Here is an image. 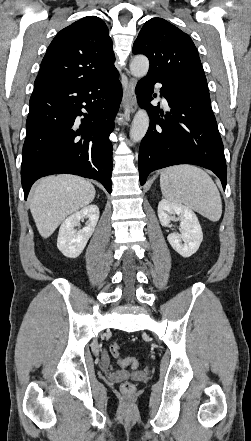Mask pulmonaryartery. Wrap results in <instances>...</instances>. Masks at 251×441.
I'll return each instance as SVG.
<instances>
[{"instance_id":"e3ab8cb5","label":"pulmonary artery","mask_w":251,"mask_h":441,"mask_svg":"<svg viewBox=\"0 0 251 441\" xmlns=\"http://www.w3.org/2000/svg\"><path fill=\"white\" fill-rule=\"evenodd\" d=\"M156 87L160 91V84H156Z\"/></svg>"}]
</instances>
